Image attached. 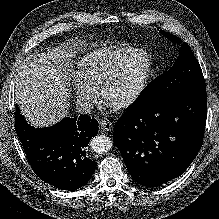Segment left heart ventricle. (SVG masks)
<instances>
[{"label": "left heart ventricle", "mask_w": 219, "mask_h": 219, "mask_svg": "<svg viewBox=\"0 0 219 219\" xmlns=\"http://www.w3.org/2000/svg\"><path fill=\"white\" fill-rule=\"evenodd\" d=\"M148 68V58L137 55L123 64L106 93V101L119 102L129 97L138 87Z\"/></svg>", "instance_id": "obj_1"}]
</instances>
